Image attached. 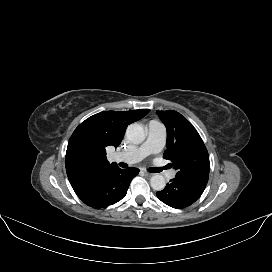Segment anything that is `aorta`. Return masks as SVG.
<instances>
[{
  "mask_svg": "<svg viewBox=\"0 0 272 272\" xmlns=\"http://www.w3.org/2000/svg\"><path fill=\"white\" fill-rule=\"evenodd\" d=\"M126 138L133 144L142 143L145 138V131L142 125L132 123L127 127ZM150 185L156 191H161L166 186L165 178L160 174H155L150 178Z\"/></svg>",
  "mask_w": 272,
  "mask_h": 272,
  "instance_id": "1",
  "label": "aorta"
}]
</instances>
